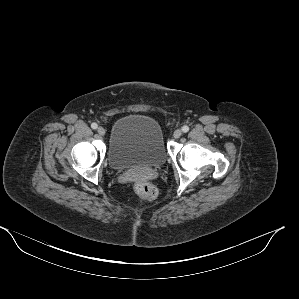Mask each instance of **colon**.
Segmentation results:
<instances>
[{
  "label": "colon",
  "instance_id": "1",
  "mask_svg": "<svg viewBox=\"0 0 299 299\" xmlns=\"http://www.w3.org/2000/svg\"><path fill=\"white\" fill-rule=\"evenodd\" d=\"M134 190L142 199L147 201H151L157 197L156 187L144 180L136 182Z\"/></svg>",
  "mask_w": 299,
  "mask_h": 299
}]
</instances>
